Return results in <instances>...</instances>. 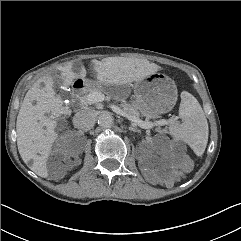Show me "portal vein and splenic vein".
<instances>
[{
    "label": "portal vein and splenic vein",
    "mask_w": 241,
    "mask_h": 241,
    "mask_svg": "<svg viewBox=\"0 0 241 241\" xmlns=\"http://www.w3.org/2000/svg\"><path fill=\"white\" fill-rule=\"evenodd\" d=\"M103 100H104V95H102L101 93L93 92V93L89 94V101L91 103L102 102ZM111 108L117 114L127 118L128 120L134 122L136 125L140 126L141 128H144V129L152 128L155 125H161V126L167 125L170 122V120H165V119L159 120L156 123L145 122L135 116L128 115L121 108H119L117 106L112 105Z\"/></svg>",
    "instance_id": "1"
}]
</instances>
